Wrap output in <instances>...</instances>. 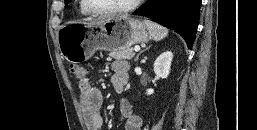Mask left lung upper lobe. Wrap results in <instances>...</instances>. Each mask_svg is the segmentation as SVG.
Instances as JSON below:
<instances>
[{"mask_svg": "<svg viewBox=\"0 0 257 130\" xmlns=\"http://www.w3.org/2000/svg\"><path fill=\"white\" fill-rule=\"evenodd\" d=\"M70 2V0H65V5H67Z\"/></svg>", "mask_w": 257, "mask_h": 130, "instance_id": "obj_1", "label": "left lung upper lobe"}]
</instances>
